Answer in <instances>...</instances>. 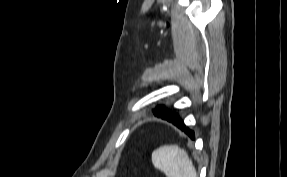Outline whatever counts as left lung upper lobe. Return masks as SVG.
<instances>
[{"label":"left lung upper lobe","instance_id":"obj_1","mask_svg":"<svg viewBox=\"0 0 287 177\" xmlns=\"http://www.w3.org/2000/svg\"><path fill=\"white\" fill-rule=\"evenodd\" d=\"M154 114L158 117H164V116H170L175 113H172L171 111L164 108V106H158L154 109Z\"/></svg>","mask_w":287,"mask_h":177}]
</instances>
